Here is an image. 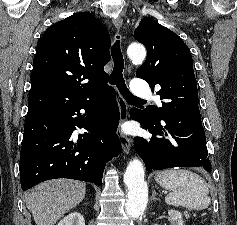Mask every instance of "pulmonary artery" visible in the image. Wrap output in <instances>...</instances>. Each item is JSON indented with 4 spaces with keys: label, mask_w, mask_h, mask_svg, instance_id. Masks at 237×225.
<instances>
[{
    "label": "pulmonary artery",
    "mask_w": 237,
    "mask_h": 225,
    "mask_svg": "<svg viewBox=\"0 0 237 225\" xmlns=\"http://www.w3.org/2000/svg\"><path fill=\"white\" fill-rule=\"evenodd\" d=\"M132 92L139 97H150V88L140 79H135L131 86Z\"/></svg>",
    "instance_id": "obj_1"
}]
</instances>
